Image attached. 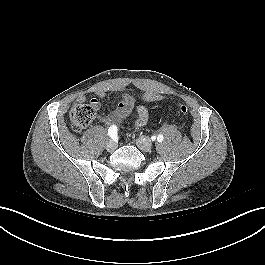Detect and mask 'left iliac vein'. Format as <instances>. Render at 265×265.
<instances>
[{
  "instance_id": "4c4485c4",
  "label": "left iliac vein",
  "mask_w": 265,
  "mask_h": 265,
  "mask_svg": "<svg viewBox=\"0 0 265 265\" xmlns=\"http://www.w3.org/2000/svg\"><path fill=\"white\" fill-rule=\"evenodd\" d=\"M137 146L145 152H149L152 149V142L149 138L141 136L136 140Z\"/></svg>"
}]
</instances>
